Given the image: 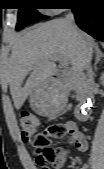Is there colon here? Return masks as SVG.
I'll return each mask as SVG.
<instances>
[{
  "label": "colon",
  "instance_id": "5ec220e1",
  "mask_svg": "<svg viewBox=\"0 0 104 169\" xmlns=\"http://www.w3.org/2000/svg\"><path fill=\"white\" fill-rule=\"evenodd\" d=\"M19 127L23 140L35 150L36 165L40 169H55L59 154L50 144L54 139L70 136L68 126L56 123L40 132L39 119L32 113H24L19 117Z\"/></svg>",
  "mask_w": 104,
  "mask_h": 169
}]
</instances>
